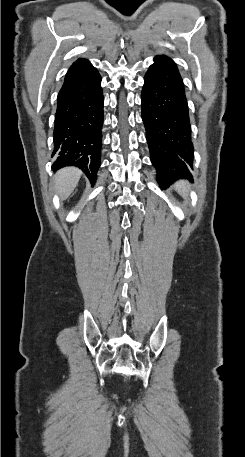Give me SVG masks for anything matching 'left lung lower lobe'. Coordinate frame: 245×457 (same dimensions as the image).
Masks as SVG:
<instances>
[{"mask_svg":"<svg viewBox=\"0 0 245 457\" xmlns=\"http://www.w3.org/2000/svg\"><path fill=\"white\" fill-rule=\"evenodd\" d=\"M142 119L157 180L166 188L179 178H191L193 142L185 88L176 63L154 58L142 89Z\"/></svg>","mask_w":245,"mask_h":457,"instance_id":"1","label":"left lung lower lobe"}]
</instances>
